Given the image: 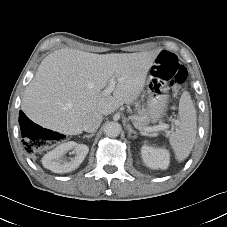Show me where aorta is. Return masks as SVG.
<instances>
[{"label":"aorta","mask_w":227,"mask_h":227,"mask_svg":"<svg viewBox=\"0 0 227 227\" xmlns=\"http://www.w3.org/2000/svg\"><path fill=\"white\" fill-rule=\"evenodd\" d=\"M121 130V125L117 122H108L104 126V134L108 137H117Z\"/></svg>","instance_id":"762f6f07"}]
</instances>
